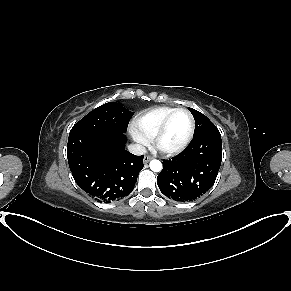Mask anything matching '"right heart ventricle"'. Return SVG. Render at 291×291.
I'll list each match as a JSON object with an SVG mask.
<instances>
[{
	"instance_id": "1",
	"label": "right heart ventricle",
	"mask_w": 291,
	"mask_h": 291,
	"mask_svg": "<svg viewBox=\"0 0 291 291\" xmlns=\"http://www.w3.org/2000/svg\"><path fill=\"white\" fill-rule=\"evenodd\" d=\"M175 109L169 106L153 108L139 115L135 120V126L147 140H151L167 115Z\"/></svg>"
}]
</instances>
